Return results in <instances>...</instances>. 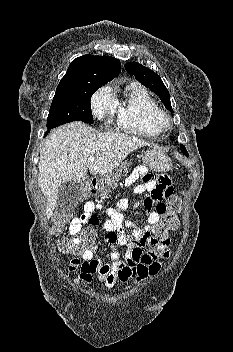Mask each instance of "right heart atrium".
<instances>
[{"label":"right heart atrium","instance_id":"d8ad5b80","mask_svg":"<svg viewBox=\"0 0 233 352\" xmlns=\"http://www.w3.org/2000/svg\"><path fill=\"white\" fill-rule=\"evenodd\" d=\"M94 116L102 122H110L117 111V99L110 86L101 87L91 98Z\"/></svg>","mask_w":233,"mask_h":352}]
</instances>
